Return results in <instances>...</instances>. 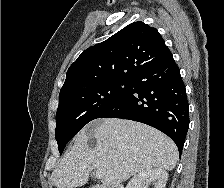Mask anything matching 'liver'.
<instances>
[{"instance_id": "obj_1", "label": "liver", "mask_w": 224, "mask_h": 188, "mask_svg": "<svg viewBox=\"0 0 224 188\" xmlns=\"http://www.w3.org/2000/svg\"><path fill=\"white\" fill-rule=\"evenodd\" d=\"M90 137L95 147L88 145ZM179 153L162 132L142 123L123 119H98L84 127L51 174L57 188L82 187L92 170H102V184L119 188L131 176L153 168L171 171Z\"/></svg>"}]
</instances>
